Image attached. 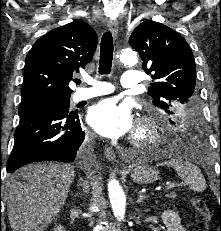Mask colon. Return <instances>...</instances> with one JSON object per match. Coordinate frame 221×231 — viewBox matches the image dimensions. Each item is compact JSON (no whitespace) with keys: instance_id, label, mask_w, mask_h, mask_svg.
Masks as SVG:
<instances>
[{"instance_id":"obj_1","label":"colon","mask_w":221,"mask_h":231,"mask_svg":"<svg viewBox=\"0 0 221 231\" xmlns=\"http://www.w3.org/2000/svg\"><path fill=\"white\" fill-rule=\"evenodd\" d=\"M191 204L201 215L205 224L208 225L212 219V214L206 203L201 198L194 197L191 200Z\"/></svg>"}]
</instances>
